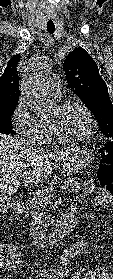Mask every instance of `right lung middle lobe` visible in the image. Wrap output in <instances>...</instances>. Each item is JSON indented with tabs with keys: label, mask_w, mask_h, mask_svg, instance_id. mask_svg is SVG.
<instances>
[{
	"label": "right lung middle lobe",
	"mask_w": 113,
	"mask_h": 279,
	"mask_svg": "<svg viewBox=\"0 0 113 279\" xmlns=\"http://www.w3.org/2000/svg\"><path fill=\"white\" fill-rule=\"evenodd\" d=\"M15 111V106L0 109V133L16 134L12 129L11 117Z\"/></svg>",
	"instance_id": "right-lung-middle-lobe-1"
}]
</instances>
